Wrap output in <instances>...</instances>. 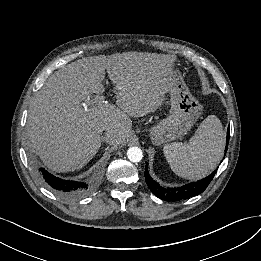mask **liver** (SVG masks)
Segmentation results:
<instances>
[{
    "instance_id": "liver-1",
    "label": "liver",
    "mask_w": 261,
    "mask_h": 261,
    "mask_svg": "<svg viewBox=\"0 0 261 261\" xmlns=\"http://www.w3.org/2000/svg\"><path fill=\"white\" fill-rule=\"evenodd\" d=\"M175 56L124 52L79 59L51 75L28 111V145L52 171L81 169L101 147L126 142L130 117H143L162 105L172 85ZM105 72L114 85L116 105L91 106L92 93L104 91Z\"/></svg>"
}]
</instances>
